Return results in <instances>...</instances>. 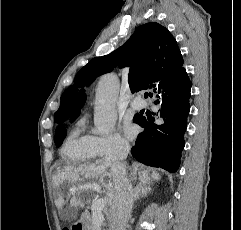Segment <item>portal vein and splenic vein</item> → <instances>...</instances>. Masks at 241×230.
I'll return each mask as SVG.
<instances>
[{"label": "portal vein and splenic vein", "instance_id": "obj_1", "mask_svg": "<svg viewBox=\"0 0 241 230\" xmlns=\"http://www.w3.org/2000/svg\"><path fill=\"white\" fill-rule=\"evenodd\" d=\"M94 189L97 191L100 190L97 186H94ZM106 204H107L106 198L98 199L93 203L92 216H93L95 223H99L102 220V218H103L102 211H103L104 207L106 206Z\"/></svg>", "mask_w": 241, "mask_h": 230}]
</instances>
